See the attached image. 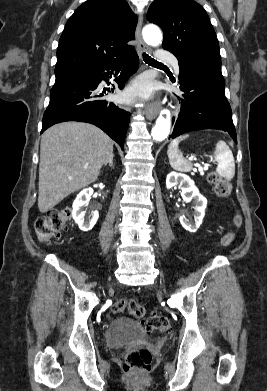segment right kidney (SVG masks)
<instances>
[{
  "mask_svg": "<svg viewBox=\"0 0 267 391\" xmlns=\"http://www.w3.org/2000/svg\"><path fill=\"white\" fill-rule=\"evenodd\" d=\"M92 194L93 189L86 188L77 195L73 202L72 217L82 231L91 230L99 217L98 211L95 210L85 220L86 211L83 210V207L88 205Z\"/></svg>",
  "mask_w": 267,
  "mask_h": 391,
  "instance_id": "ca27d5eb",
  "label": "right kidney"
}]
</instances>
